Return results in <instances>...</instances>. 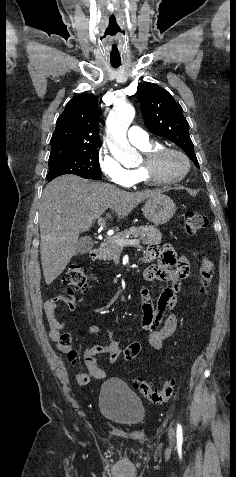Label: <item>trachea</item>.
<instances>
[{
    "mask_svg": "<svg viewBox=\"0 0 236 477\" xmlns=\"http://www.w3.org/2000/svg\"><path fill=\"white\" fill-rule=\"evenodd\" d=\"M120 65H121V63H111V66L115 69L120 67Z\"/></svg>",
    "mask_w": 236,
    "mask_h": 477,
    "instance_id": "trachea-1",
    "label": "trachea"
}]
</instances>
